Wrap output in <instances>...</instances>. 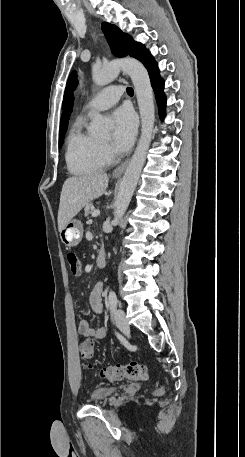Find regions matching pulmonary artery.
Returning <instances> with one entry per match:
<instances>
[{"label":"pulmonary artery","mask_w":245,"mask_h":457,"mask_svg":"<svg viewBox=\"0 0 245 457\" xmlns=\"http://www.w3.org/2000/svg\"><path fill=\"white\" fill-rule=\"evenodd\" d=\"M125 91L123 86H104L103 93H96L95 97L85 104L84 109L87 112L105 110L117 103Z\"/></svg>","instance_id":"pulmonary-artery-1"}]
</instances>
